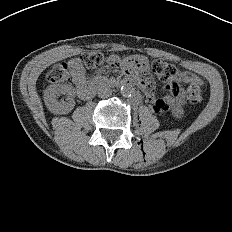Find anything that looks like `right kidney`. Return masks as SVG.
<instances>
[{
	"label": "right kidney",
	"instance_id": "1",
	"mask_svg": "<svg viewBox=\"0 0 232 232\" xmlns=\"http://www.w3.org/2000/svg\"><path fill=\"white\" fill-rule=\"evenodd\" d=\"M60 95H67V102H59L57 98ZM44 102L48 110L56 115H65L71 112L75 106V89L68 84H53L44 91Z\"/></svg>",
	"mask_w": 232,
	"mask_h": 232
}]
</instances>
